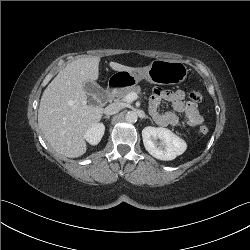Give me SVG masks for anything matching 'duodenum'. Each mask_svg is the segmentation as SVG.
Segmentation results:
<instances>
[{
	"label": "duodenum",
	"instance_id": "duodenum-1",
	"mask_svg": "<svg viewBox=\"0 0 250 250\" xmlns=\"http://www.w3.org/2000/svg\"><path fill=\"white\" fill-rule=\"evenodd\" d=\"M119 86H120L119 80L110 81V83L108 84V86L105 90V95H106L107 101H110L113 98L114 92H115L116 88Z\"/></svg>",
	"mask_w": 250,
	"mask_h": 250
}]
</instances>
